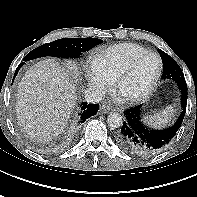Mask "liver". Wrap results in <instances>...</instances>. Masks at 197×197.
<instances>
[{
	"mask_svg": "<svg viewBox=\"0 0 197 197\" xmlns=\"http://www.w3.org/2000/svg\"><path fill=\"white\" fill-rule=\"evenodd\" d=\"M76 64L65 67L53 58L30 67L18 84L16 113L18 124L32 138L48 142L61 134L75 107Z\"/></svg>",
	"mask_w": 197,
	"mask_h": 197,
	"instance_id": "1",
	"label": "liver"
}]
</instances>
